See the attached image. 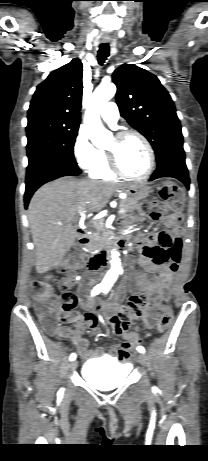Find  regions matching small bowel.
I'll return each instance as SVG.
<instances>
[{"label": "small bowel", "mask_w": 208, "mask_h": 461, "mask_svg": "<svg viewBox=\"0 0 208 461\" xmlns=\"http://www.w3.org/2000/svg\"><path fill=\"white\" fill-rule=\"evenodd\" d=\"M143 215L144 210L141 209V205L133 204L130 214H121L120 218L127 226L133 217ZM142 241L144 245H156L158 250L165 251H140L139 265L148 273L137 271L132 275L125 274L109 301L90 299L88 297L92 294L88 291H84L82 295H77L76 291H68L72 284L71 280L76 279L77 271L81 269V264L78 263V256H67L63 280L66 289L61 291L59 298L62 301V308L70 310L66 313H58L57 317L59 324L70 323L72 327H63L60 336L71 341L85 359L98 357L106 349L113 357L122 361L130 360L132 357L113 345L89 348L84 335L101 334L98 326L99 315L107 318L114 332L122 335L126 340L141 341L137 331L130 329L133 320L141 319L149 328L157 321L159 304L168 298L170 286L180 268V263L184 262L186 243L182 238V230L177 229L175 225L174 229H158L152 237H143ZM128 293L130 296L126 304L120 306ZM79 303L86 309L84 314L72 311L78 308Z\"/></svg>", "instance_id": "c3829d8e"}]
</instances>
